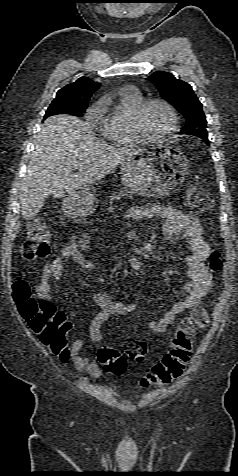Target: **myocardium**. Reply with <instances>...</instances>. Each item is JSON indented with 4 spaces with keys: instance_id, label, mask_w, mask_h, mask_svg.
I'll use <instances>...</instances> for the list:
<instances>
[{
    "instance_id": "obj_1",
    "label": "myocardium",
    "mask_w": 238,
    "mask_h": 476,
    "mask_svg": "<svg viewBox=\"0 0 238 476\" xmlns=\"http://www.w3.org/2000/svg\"><path fill=\"white\" fill-rule=\"evenodd\" d=\"M152 104H161L170 114L171 123L169 128L161 135L153 136L146 132L143 127L142 119L146 109ZM178 127V115L171 103L162 98H148L143 100L136 108L132 117V128L140 141L145 142H160L170 137Z\"/></svg>"
}]
</instances>
